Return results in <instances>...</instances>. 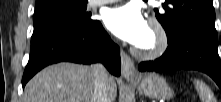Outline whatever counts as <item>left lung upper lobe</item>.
Wrapping results in <instances>:
<instances>
[{"label":"left lung upper lobe","instance_id":"left-lung-upper-lobe-1","mask_svg":"<svg viewBox=\"0 0 221 102\" xmlns=\"http://www.w3.org/2000/svg\"><path fill=\"white\" fill-rule=\"evenodd\" d=\"M156 17L171 40L184 31L199 32L217 43L212 0H166Z\"/></svg>","mask_w":221,"mask_h":102}]
</instances>
